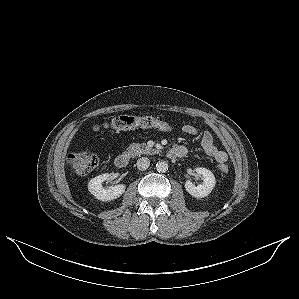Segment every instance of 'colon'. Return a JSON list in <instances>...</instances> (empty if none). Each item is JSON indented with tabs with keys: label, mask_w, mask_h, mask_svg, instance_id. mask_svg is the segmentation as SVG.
<instances>
[{
	"label": "colon",
	"mask_w": 299,
	"mask_h": 299,
	"mask_svg": "<svg viewBox=\"0 0 299 299\" xmlns=\"http://www.w3.org/2000/svg\"><path fill=\"white\" fill-rule=\"evenodd\" d=\"M104 126L114 130H129L137 127L154 128L163 132H171L173 130V126L170 123L152 116L137 117L120 115L104 124ZM94 129L98 130L99 127H95ZM68 163L74 174L84 176L96 168L98 165V158L96 155L89 152H79L70 155ZM219 169L224 173L228 172V166L225 164L219 165Z\"/></svg>",
	"instance_id": "obj_1"
}]
</instances>
